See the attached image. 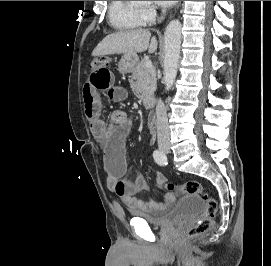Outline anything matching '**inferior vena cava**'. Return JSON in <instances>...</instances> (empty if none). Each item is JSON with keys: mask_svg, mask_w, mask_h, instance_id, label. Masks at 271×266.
I'll return each instance as SVG.
<instances>
[{"mask_svg": "<svg viewBox=\"0 0 271 266\" xmlns=\"http://www.w3.org/2000/svg\"><path fill=\"white\" fill-rule=\"evenodd\" d=\"M156 117L158 142L169 141L170 131L168 127L167 110L161 99L156 106Z\"/></svg>", "mask_w": 271, "mask_h": 266, "instance_id": "inferior-vena-cava-1", "label": "inferior vena cava"}]
</instances>
